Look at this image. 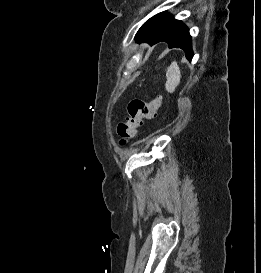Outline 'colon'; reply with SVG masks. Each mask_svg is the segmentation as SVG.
<instances>
[{"mask_svg":"<svg viewBox=\"0 0 261 273\" xmlns=\"http://www.w3.org/2000/svg\"><path fill=\"white\" fill-rule=\"evenodd\" d=\"M162 96L158 95L151 101L132 99L127 106V117L118 123L116 133L121 145L127 144L136 135L137 130L143 125L144 120L156 118L162 105Z\"/></svg>","mask_w":261,"mask_h":273,"instance_id":"colon-1","label":"colon"}]
</instances>
